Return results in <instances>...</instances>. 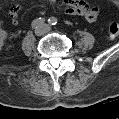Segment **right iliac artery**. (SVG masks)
I'll return each instance as SVG.
<instances>
[{"label":"right iliac artery","mask_w":119,"mask_h":119,"mask_svg":"<svg viewBox=\"0 0 119 119\" xmlns=\"http://www.w3.org/2000/svg\"><path fill=\"white\" fill-rule=\"evenodd\" d=\"M44 21H45V18H41V17H40V18H37V19H35V20L32 22L31 26H32L33 29H36V28H38L41 24H43Z\"/></svg>","instance_id":"82829eb1"}]
</instances>
